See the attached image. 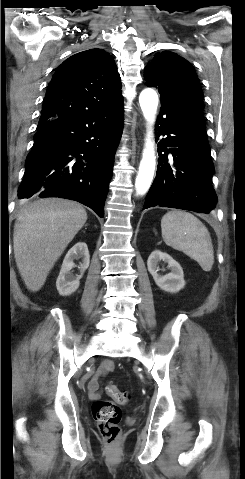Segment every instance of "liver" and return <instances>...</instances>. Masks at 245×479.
I'll return each mask as SVG.
<instances>
[{
  "instance_id": "1",
  "label": "liver",
  "mask_w": 245,
  "mask_h": 479,
  "mask_svg": "<svg viewBox=\"0 0 245 479\" xmlns=\"http://www.w3.org/2000/svg\"><path fill=\"white\" fill-rule=\"evenodd\" d=\"M87 221L76 202L40 199L20 208L14 225L13 248L26 287L39 291L55 262Z\"/></svg>"
}]
</instances>
